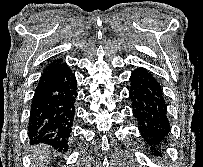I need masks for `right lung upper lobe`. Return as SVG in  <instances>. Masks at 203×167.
I'll list each match as a JSON object with an SVG mask.
<instances>
[{"instance_id":"cb5924a9","label":"right lung upper lobe","mask_w":203,"mask_h":167,"mask_svg":"<svg viewBox=\"0 0 203 167\" xmlns=\"http://www.w3.org/2000/svg\"><path fill=\"white\" fill-rule=\"evenodd\" d=\"M62 59H59V60H55L54 62L50 63L47 68L45 69L43 76H46L54 71H56L61 65H62Z\"/></svg>"}]
</instances>
